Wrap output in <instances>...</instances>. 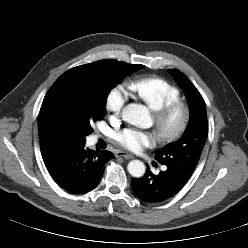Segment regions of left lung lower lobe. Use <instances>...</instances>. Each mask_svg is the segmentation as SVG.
Masks as SVG:
<instances>
[{"mask_svg":"<svg viewBox=\"0 0 248 248\" xmlns=\"http://www.w3.org/2000/svg\"><path fill=\"white\" fill-rule=\"evenodd\" d=\"M185 184L186 181L171 168L159 175H153L148 168L143 177L131 180L134 195L147 203L163 202L176 195Z\"/></svg>","mask_w":248,"mask_h":248,"instance_id":"left-lung-lower-lobe-1","label":"left lung lower lobe"}]
</instances>
